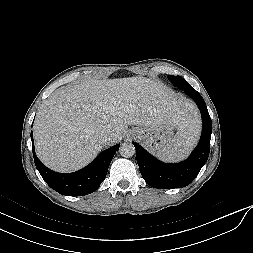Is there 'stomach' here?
<instances>
[{
	"label": "stomach",
	"mask_w": 253,
	"mask_h": 253,
	"mask_svg": "<svg viewBox=\"0 0 253 253\" xmlns=\"http://www.w3.org/2000/svg\"><path fill=\"white\" fill-rule=\"evenodd\" d=\"M130 133L143 141L144 145L151 151H159L171 142L173 127L170 123L163 122L153 126L135 127Z\"/></svg>",
	"instance_id": "obj_1"
}]
</instances>
